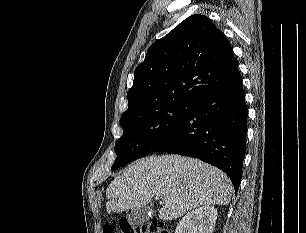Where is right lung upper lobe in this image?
I'll list each match as a JSON object with an SVG mask.
<instances>
[{
  "instance_id": "1",
  "label": "right lung upper lobe",
  "mask_w": 306,
  "mask_h": 233,
  "mask_svg": "<svg viewBox=\"0 0 306 233\" xmlns=\"http://www.w3.org/2000/svg\"><path fill=\"white\" fill-rule=\"evenodd\" d=\"M239 77L226 36L208 17L192 15L148 49L135 69L123 114L163 99L198 104Z\"/></svg>"
}]
</instances>
